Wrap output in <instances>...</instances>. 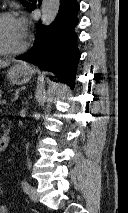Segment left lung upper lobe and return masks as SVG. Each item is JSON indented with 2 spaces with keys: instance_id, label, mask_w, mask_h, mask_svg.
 I'll use <instances>...</instances> for the list:
<instances>
[{
  "instance_id": "left-lung-upper-lobe-1",
  "label": "left lung upper lobe",
  "mask_w": 128,
  "mask_h": 213,
  "mask_svg": "<svg viewBox=\"0 0 128 213\" xmlns=\"http://www.w3.org/2000/svg\"><path fill=\"white\" fill-rule=\"evenodd\" d=\"M22 4H23L24 6H26L27 8L31 5L29 2H26V1H22Z\"/></svg>"
}]
</instances>
